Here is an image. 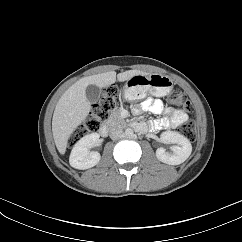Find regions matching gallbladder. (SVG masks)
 <instances>
[{
  "label": "gallbladder",
  "mask_w": 242,
  "mask_h": 242,
  "mask_svg": "<svg viewBox=\"0 0 242 242\" xmlns=\"http://www.w3.org/2000/svg\"><path fill=\"white\" fill-rule=\"evenodd\" d=\"M86 97L91 103H97L100 98V89L96 85H88L86 88Z\"/></svg>",
  "instance_id": "1"
}]
</instances>
